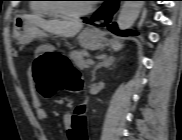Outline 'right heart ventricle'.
Returning <instances> with one entry per match:
<instances>
[{"instance_id": "1", "label": "right heart ventricle", "mask_w": 182, "mask_h": 140, "mask_svg": "<svg viewBox=\"0 0 182 140\" xmlns=\"http://www.w3.org/2000/svg\"><path fill=\"white\" fill-rule=\"evenodd\" d=\"M49 1L52 0H32L29 9L32 13L41 16H58L54 4Z\"/></svg>"}]
</instances>
